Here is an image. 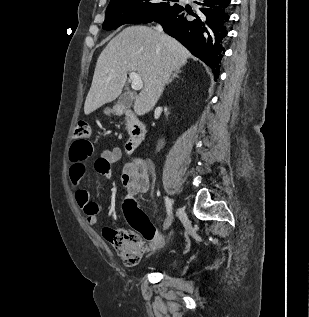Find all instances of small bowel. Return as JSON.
Listing matches in <instances>:
<instances>
[{"instance_id": "1", "label": "small bowel", "mask_w": 309, "mask_h": 317, "mask_svg": "<svg viewBox=\"0 0 309 317\" xmlns=\"http://www.w3.org/2000/svg\"><path fill=\"white\" fill-rule=\"evenodd\" d=\"M77 157L70 155L69 181L76 188L74 198L76 204L83 210L87 222L91 225L97 222V216L101 211L100 205L92 200L89 190L79 187L87 169L88 153L84 147L76 149ZM122 156L118 146L103 149L100 156L95 160V170L106 179L111 178V165ZM121 184L129 194L145 193L149 187L148 166L142 159H135L123 167Z\"/></svg>"}]
</instances>
